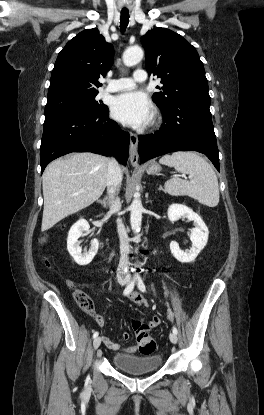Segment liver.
Listing matches in <instances>:
<instances>
[{
  "label": "liver",
  "mask_w": 264,
  "mask_h": 415,
  "mask_svg": "<svg viewBox=\"0 0 264 415\" xmlns=\"http://www.w3.org/2000/svg\"><path fill=\"white\" fill-rule=\"evenodd\" d=\"M108 164L101 155L73 153L46 167L42 177L43 232L100 198L107 184Z\"/></svg>",
  "instance_id": "6515ba94"
}]
</instances>
